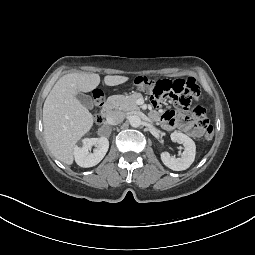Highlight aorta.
<instances>
[{
  "mask_svg": "<svg viewBox=\"0 0 255 255\" xmlns=\"http://www.w3.org/2000/svg\"><path fill=\"white\" fill-rule=\"evenodd\" d=\"M129 122H130V125L132 127H139L141 125V118L137 115H132L130 118H129Z\"/></svg>",
  "mask_w": 255,
  "mask_h": 255,
  "instance_id": "1",
  "label": "aorta"
}]
</instances>
